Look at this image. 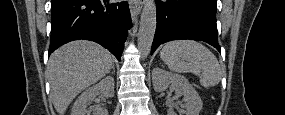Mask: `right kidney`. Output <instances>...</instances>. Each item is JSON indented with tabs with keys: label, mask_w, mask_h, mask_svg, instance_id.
Wrapping results in <instances>:
<instances>
[{
	"label": "right kidney",
	"mask_w": 285,
	"mask_h": 115,
	"mask_svg": "<svg viewBox=\"0 0 285 115\" xmlns=\"http://www.w3.org/2000/svg\"><path fill=\"white\" fill-rule=\"evenodd\" d=\"M100 94L105 98H112L114 96L113 77L107 76L98 84L85 90L75 101L71 115H90V110L87 107ZM94 115H108V111L104 108H98Z\"/></svg>",
	"instance_id": "right-kidney-1"
}]
</instances>
